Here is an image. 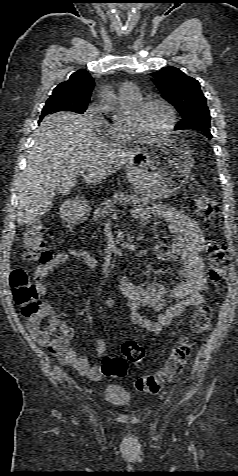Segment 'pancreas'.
Listing matches in <instances>:
<instances>
[{
	"mask_svg": "<svg viewBox=\"0 0 238 476\" xmlns=\"http://www.w3.org/2000/svg\"><path fill=\"white\" fill-rule=\"evenodd\" d=\"M150 199L140 195L136 192L123 193L117 192L111 198L106 199L103 203L97 207L93 213V220L97 223H100L102 219L110 215L113 212L117 211V205L119 206H137V205H148Z\"/></svg>",
	"mask_w": 238,
	"mask_h": 476,
	"instance_id": "pancreas-1",
	"label": "pancreas"
}]
</instances>
